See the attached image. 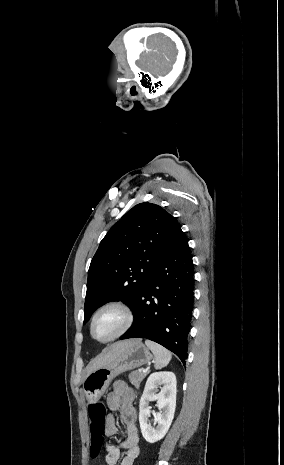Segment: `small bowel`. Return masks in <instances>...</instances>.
<instances>
[{
	"instance_id": "c3829d8e",
	"label": "small bowel",
	"mask_w": 284,
	"mask_h": 465,
	"mask_svg": "<svg viewBox=\"0 0 284 465\" xmlns=\"http://www.w3.org/2000/svg\"><path fill=\"white\" fill-rule=\"evenodd\" d=\"M135 393L125 381L117 380L107 396V404L111 412H119L124 424L126 438L119 444H106L105 461L107 465H117L121 451L124 455L120 465H133L140 454V435L137 428V410L134 406ZM119 428L113 415L107 418L105 434L108 437L118 435Z\"/></svg>"
}]
</instances>
